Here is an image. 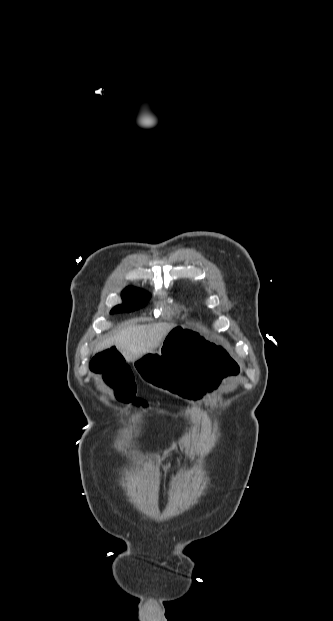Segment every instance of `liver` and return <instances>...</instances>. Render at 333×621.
Listing matches in <instances>:
<instances>
[{"label":"liver","instance_id":"6515ba94","mask_svg":"<svg viewBox=\"0 0 333 621\" xmlns=\"http://www.w3.org/2000/svg\"><path fill=\"white\" fill-rule=\"evenodd\" d=\"M173 328L174 324L168 323L129 325L117 334L102 339L96 345L94 353L115 345L127 362H134L158 348Z\"/></svg>","mask_w":333,"mask_h":621}]
</instances>
